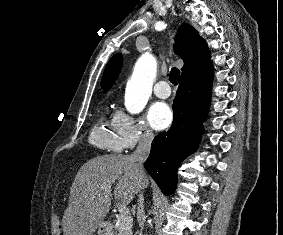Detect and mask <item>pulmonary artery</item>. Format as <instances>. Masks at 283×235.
Instances as JSON below:
<instances>
[{
  "mask_svg": "<svg viewBox=\"0 0 283 235\" xmlns=\"http://www.w3.org/2000/svg\"><path fill=\"white\" fill-rule=\"evenodd\" d=\"M153 92L156 97L165 99L171 95V89L168 85V82L165 80L159 81L154 86Z\"/></svg>",
  "mask_w": 283,
  "mask_h": 235,
  "instance_id": "e3ab8cb5",
  "label": "pulmonary artery"
}]
</instances>
